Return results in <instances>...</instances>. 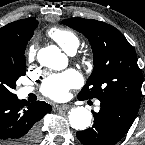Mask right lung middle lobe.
Returning a JSON list of instances; mask_svg holds the SVG:
<instances>
[{"instance_id": "right-lung-middle-lobe-1", "label": "right lung middle lobe", "mask_w": 145, "mask_h": 145, "mask_svg": "<svg viewBox=\"0 0 145 145\" xmlns=\"http://www.w3.org/2000/svg\"><path fill=\"white\" fill-rule=\"evenodd\" d=\"M37 27V25H36ZM0 48V95H14L16 81L26 74L25 49L28 41Z\"/></svg>"}]
</instances>
